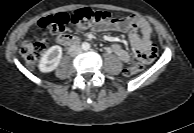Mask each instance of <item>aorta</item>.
I'll return each mask as SVG.
<instances>
[{
  "label": "aorta",
  "mask_w": 194,
  "mask_h": 133,
  "mask_svg": "<svg viewBox=\"0 0 194 133\" xmlns=\"http://www.w3.org/2000/svg\"><path fill=\"white\" fill-rule=\"evenodd\" d=\"M90 48L89 43H83V49L88 50Z\"/></svg>",
  "instance_id": "1"
}]
</instances>
